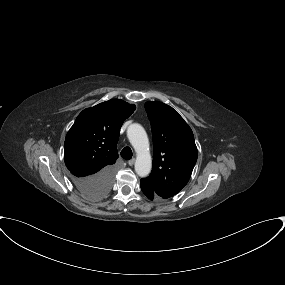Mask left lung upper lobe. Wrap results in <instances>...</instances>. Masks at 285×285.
<instances>
[{
  "mask_svg": "<svg viewBox=\"0 0 285 285\" xmlns=\"http://www.w3.org/2000/svg\"><path fill=\"white\" fill-rule=\"evenodd\" d=\"M145 109L152 127L153 167L142 180L167 199L189 181L197 161V147L191 128L172 107L150 101Z\"/></svg>",
  "mask_w": 285,
  "mask_h": 285,
  "instance_id": "left-lung-upper-lobe-1",
  "label": "left lung upper lobe"
}]
</instances>
